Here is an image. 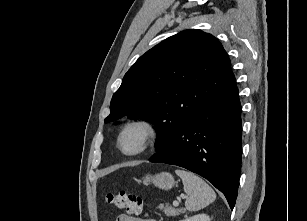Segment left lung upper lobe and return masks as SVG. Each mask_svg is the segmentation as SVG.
<instances>
[{
    "mask_svg": "<svg viewBox=\"0 0 307 221\" xmlns=\"http://www.w3.org/2000/svg\"><path fill=\"white\" fill-rule=\"evenodd\" d=\"M231 62L211 34L190 29L143 54L125 74L106 123L128 115L159 128L157 151L233 79Z\"/></svg>",
    "mask_w": 307,
    "mask_h": 221,
    "instance_id": "obj_1",
    "label": "left lung upper lobe"
}]
</instances>
